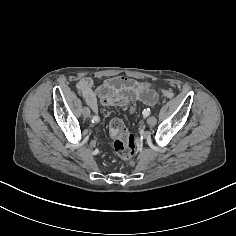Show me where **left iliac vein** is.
Masks as SVG:
<instances>
[{"label": "left iliac vein", "instance_id": "obj_1", "mask_svg": "<svg viewBox=\"0 0 236 236\" xmlns=\"http://www.w3.org/2000/svg\"><path fill=\"white\" fill-rule=\"evenodd\" d=\"M147 123H148V125H150V126H154V125L157 123L156 117L150 116V117L147 119Z\"/></svg>", "mask_w": 236, "mask_h": 236}]
</instances>
